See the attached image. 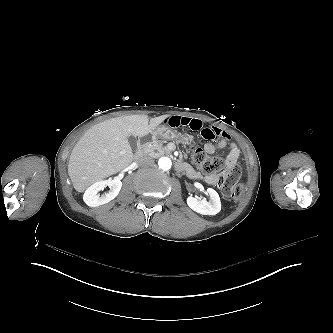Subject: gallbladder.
Masks as SVG:
<instances>
[{
    "mask_svg": "<svg viewBox=\"0 0 333 333\" xmlns=\"http://www.w3.org/2000/svg\"><path fill=\"white\" fill-rule=\"evenodd\" d=\"M129 144L133 151L137 150V139L134 136L128 138Z\"/></svg>",
    "mask_w": 333,
    "mask_h": 333,
    "instance_id": "1",
    "label": "gallbladder"
}]
</instances>
